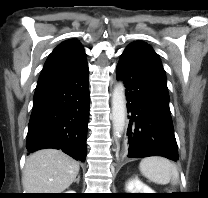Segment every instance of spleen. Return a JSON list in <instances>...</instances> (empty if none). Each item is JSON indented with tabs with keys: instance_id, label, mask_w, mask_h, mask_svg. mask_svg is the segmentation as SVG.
I'll return each mask as SVG.
<instances>
[{
	"instance_id": "spleen-1",
	"label": "spleen",
	"mask_w": 208,
	"mask_h": 198,
	"mask_svg": "<svg viewBox=\"0 0 208 198\" xmlns=\"http://www.w3.org/2000/svg\"><path fill=\"white\" fill-rule=\"evenodd\" d=\"M139 169L142 175L159 185H166L170 182L177 184L179 180L177 167L163 157L144 158L139 164Z\"/></svg>"
}]
</instances>
